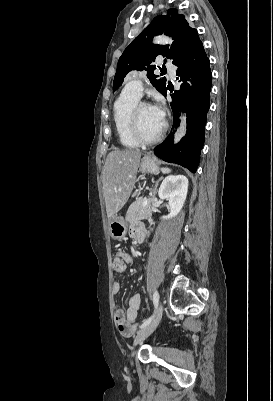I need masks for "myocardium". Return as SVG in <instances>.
<instances>
[{"label": "myocardium", "instance_id": "obj_1", "mask_svg": "<svg viewBox=\"0 0 273 401\" xmlns=\"http://www.w3.org/2000/svg\"><path fill=\"white\" fill-rule=\"evenodd\" d=\"M142 106L149 107V105L146 102H138L132 108L129 116L128 130L132 138H134L139 143L145 145L154 144L163 137L164 133L166 132L167 126L166 124H163L161 131L153 137H146L145 135H143L142 132L140 131L137 119V113Z\"/></svg>", "mask_w": 273, "mask_h": 401}]
</instances>
